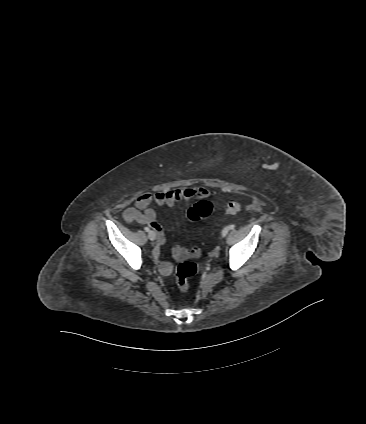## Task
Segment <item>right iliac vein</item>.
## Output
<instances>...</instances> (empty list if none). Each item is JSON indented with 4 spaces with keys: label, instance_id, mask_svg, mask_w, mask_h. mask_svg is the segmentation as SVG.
<instances>
[{
    "label": "right iliac vein",
    "instance_id": "1",
    "mask_svg": "<svg viewBox=\"0 0 366 424\" xmlns=\"http://www.w3.org/2000/svg\"><path fill=\"white\" fill-rule=\"evenodd\" d=\"M148 237L151 241H154L156 239V234L154 231H149Z\"/></svg>",
    "mask_w": 366,
    "mask_h": 424
}]
</instances>
